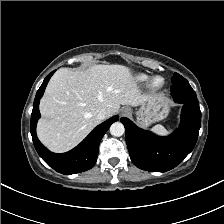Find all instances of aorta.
Instances as JSON below:
<instances>
[{
  "label": "aorta",
  "instance_id": "1",
  "mask_svg": "<svg viewBox=\"0 0 224 224\" xmlns=\"http://www.w3.org/2000/svg\"><path fill=\"white\" fill-rule=\"evenodd\" d=\"M125 128L121 122H115L110 127V133L113 136L120 137L124 134Z\"/></svg>",
  "mask_w": 224,
  "mask_h": 224
}]
</instances>
